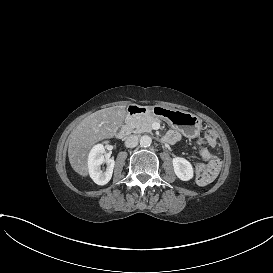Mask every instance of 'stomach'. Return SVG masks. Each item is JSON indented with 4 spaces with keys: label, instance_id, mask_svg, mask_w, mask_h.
<instances>
[{
    "label": "stomach",
    "instance_id": "stomach-1",
    "mask_svg": "<svg viewBox=\"0 0 273 273\" xmlns=\"http://www.w3.org/2000/svg\"><path fill=\"white\" fill-rule=\"evenodd\" d=\"M146 114L164 120L170 127L178 130L187 138L200 135L202 120L187 111L169 109L161 105L146 106Z\"/></svg>",
    "mask_w": 273,
    "mask_h": 273
}]
</instances>
